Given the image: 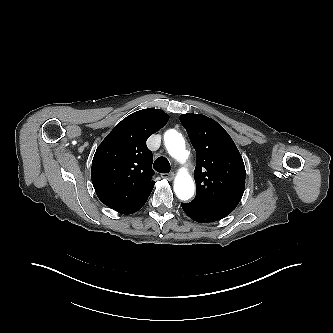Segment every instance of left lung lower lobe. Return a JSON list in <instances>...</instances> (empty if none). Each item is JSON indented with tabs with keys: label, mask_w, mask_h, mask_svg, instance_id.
Listing matches in <instances>:
<instances>
[{
	"label": "left lung lower lobe",
	"mask_w": 333,
	"mask_h": 333,
	"mask_svg": "<svg viewBox=\"0 0 333 333\" xmlns=\"http://www.w3.org/2000/svg\"><path fill=\"white\" fill-rule=\"evenodd\" d=\"M182 208L184 212L195 221L199 223L205 222H214L226 217L223 214H220L208 207L202 206L200 204L190 202V203H182Z\"/></svg>",
	"instance_id": "0a47b994"
}]
</instances>
